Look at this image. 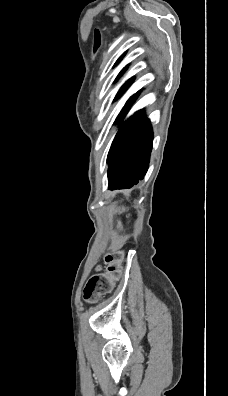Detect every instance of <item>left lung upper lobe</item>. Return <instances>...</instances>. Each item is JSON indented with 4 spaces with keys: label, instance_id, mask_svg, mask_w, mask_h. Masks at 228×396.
Instances as JSON below:
<instances>
[{
    "label": "left lung upper lobe",
    "instance_id": "5c2ea615",
    "mask_svg": "<svg viewBox=\"0 0 228 396\" xmlns=\"http://www.w3.org/2000/svg\"><path fill=\"white\" fill-rule=\"evenodd\" d=\"M124 55H125V53L117 60V62H116L115 64H118V63L121 61V59L124 57ZM125 70H126V68H124V69L120 72L119 76H120ZM133 80H134V78L129 79V80L121 87V89L119 90V92L117 93V95H116V97H115V100L118 99L119 96H121V95L127 90V88L131 85V83L133 82Z\"/></svg>",
    "mask_w": 228,
    "mask_h": 396
}]
</instances>
